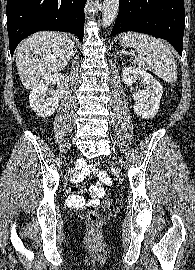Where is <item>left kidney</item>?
<instances>
[{"instance_id":"1","label":"left kidney","mask_w":195,"mask_h":270,"mask_svg":"<svg viewBox=\"0 0 195 270\" xmlns=\"http://www.w3.org/2000/svg\"><path fill=\"white\" fill-rule=\"evenodd\" d=\"M122 80L130 86L136 81L146 85L145 89L133 93L134 111L138 116L146 119L154 117L159 110L163 94L161 83L148 72L131 66L123 70Z\"/></svg>"}]
</instances>
